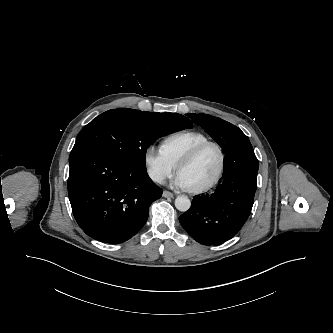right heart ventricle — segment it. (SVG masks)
Here are the masks:
<instances>
[{
  "label": "right heart ventricle",
  "instance_id": "obj_1",
  "mask_svg": "<svg viewBox=\"0 0 333 333\" xmlns=\"http://www.w3.org/2000/svg\"><path fill=\"white\" fill-rule=\"evenodd\" d=\"M209 141L201 132L186 130L176 132L164 138L160 149L164 155L177 167L179 162L196 146Z\"/></svg>",
  "mask_w": 333,
  "mask_h": 333
}]
</instances>
